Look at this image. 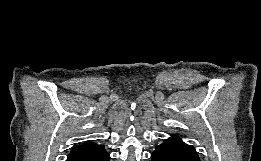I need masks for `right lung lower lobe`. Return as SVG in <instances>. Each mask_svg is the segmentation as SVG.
I'll return each instance as SVG.
<instances>
[{
	"label": "right lung lower lobe",
	"mask_w": 261,
	"mask_h": 161,
	"mask_svg": "<svg viewBox=\"0 0 261 161\" xmlns=\"http://www.w3.org/2000/svg\"><path fill=\"white\" fill-rule=\"evenodd\" d=\"M67 161H109V154L103 145H91L81 149H73Z\"/></svg>",
	"instance_id": "obj_1"
}]
</instances>
